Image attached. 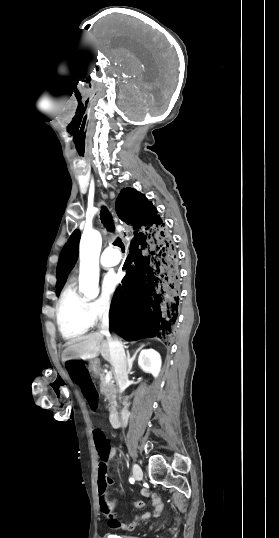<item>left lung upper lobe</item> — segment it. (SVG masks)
I'll return each mask as SVG.
<instances>
[{"instance_id":"5c2ea615","label":"left lung upper lobe","mask_w":279,"mask_h":538,"mask_svg":"<svg viewBox=\"0 0 279 538\" xmlns=\"http://www.w3.org/2000/svg\"><path fill=\"white\" fill-rule=\"evenodd\" d=\"M80 236V231L75 230L61 251L57 266V296H59L68 274L77 261Z\"/></svg>"}]
</instances>
